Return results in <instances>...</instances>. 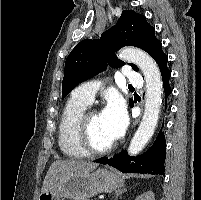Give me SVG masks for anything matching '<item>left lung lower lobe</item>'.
Masks as SVG:
<instances>
[{"label":"left lung lower lobe","mask_w":201,"mask_h":200,"mask_svg":"<svg viewBox=\"0 0 201 200\" xmlns=\"http://www.w3.org/2000/svg\"><path fill=\"white\" fill-rule=\"evenodd\" d=\"M167 62L168 57L164 53H162L156 59V63L158 64L162 75L166 106H167V97L171 94V88L169 85L171 72L167 67ZM165 148H166L165 136L162 130H160L151 148L142 155L136 157H130L128 156L127 151L123 150L111 159L101 158L95 160V162L108 164L123 173L164 175L165 172L164 162L166 157Z\"/></svg>","instance_id":"1"}]
</instances>
